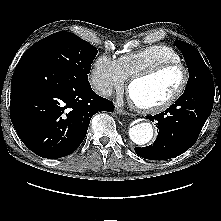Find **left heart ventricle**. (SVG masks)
<instances>
[{
  "label": "left heart ventricle",
  "mask_w": 221,
  "mask_h": 221,
  "mask_svg": "<svg viewBox=\"0 0 221 221\" xmlns=\"http://www.w3.org/2000/svg\"><path fill=\"white\" fill-rule=\"evenodd\" d=\"M182 70L171 68L153 77L134 83L130 90L132 99L140 105L153 106L166 101L180 87Z\"/></svg>",
  "instance_id": "left-heart-ventricle-1"
}]
</instances>
